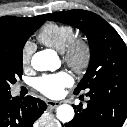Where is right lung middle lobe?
<instances>
[{"instance_id":"dd1d6c3e","label":"right lung middle lobe","mask_w":127,"mask_h":127,"mask_svg":"<svg viewBox=\"0 0 127 127\" xmlns=\"http://www.w3.org/2000/svg\"><path fill=\"white\" fill-rule=\"evenodd\" d=\"M43 22L0 37V95L10 93V85L23 74L22 51L27 39Z\"/></svg>"}]
</instances>
